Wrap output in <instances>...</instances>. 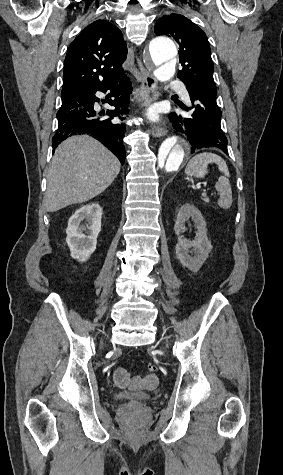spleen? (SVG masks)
I'll list each match as a JSON object with an SVG mask.
<instances>
[{"instance_id": "obj_1", "label": "spleen", "mask_w": 283, "mask_h": 475, "mask_svg": "<svg viewBox=\"0 0 283 475\" xmlns=\"http://www.w3.org/2000/svg\"><path fill=\"white\" fill-rule=\"evenodd\" d=\"M209 164H217L219 172H222L223 176L216 182V190L220 196L218 200V206L228 210L232 206V192L229 182V172L226 162L217 156V154H210V152H203V154H197L192 160H189L185 174L187 176H195V178H205L208 174Z\"/></svg>"}]
</instances>
